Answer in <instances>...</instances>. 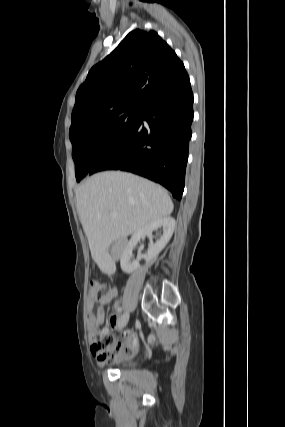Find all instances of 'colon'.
<instances>
[{
	"mask_svg": "<svg viewBox=\"0 0 285 427\" xmlns=\"http://www.w3.org/2000/svg\"><path fill=\"white\" fill-rule=\"evenodd\" d=\"M110 287L97 279H92L89 282V297L96 301L101 299L109 292ZM90 338L93 341V349L99 355L101 359L111 360L114 358V352L112 347L114 344L113 337L111 336L108 329L94 328L90 330ZM136 340L132 337L130 345L125 348L124 355H131L136 350Z\"/></svg>",
	"mask_w": 285,
	"mask_h": 427,
	"instance_id": "colon-1",
	"label": "colon"
}]
</instances>
